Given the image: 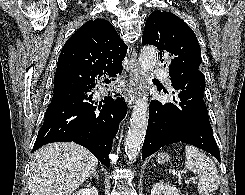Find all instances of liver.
Wrapping results in <instances>:
<instances>
[{
  "mask_svg": "<svg viewBox=\"0 0 245 195\" xmlns=\"http://www.w3.org/2000/svg\"><path fill=\"white\" fill-rule=\"evenodd\" d=\"M97 158L73 142L51 143L40 148L31 164V195H71L90 177Z\"/></svg>",
  "mask_w": 245,
  "mask_h": 195,
  "instance_id": "1",
  "label": "liver"
}]
</instances>
